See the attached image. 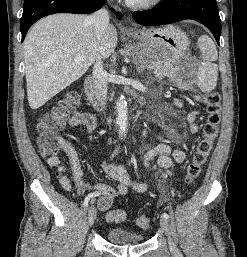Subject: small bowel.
<instances>
[{
  "instance_id": "c3829d8e",
  "label": "small bowel",
  "mask_w": 247,
  "mask_h": 257,
  "mask_svg": "<svg viewBox=\"0 0 247 257\" xmlns=\"http://www.w3.org/2000/svg\"><path fill=\"white\" fill-rule=\"evenodd\" d=\"M176 104L181 105V102L177 100ZM197 115V111H192L188 114V121L192 132L197 131V125L195 124ZM69 125H84L89 132H93L96 129L97 122L96 119L88 113H77L70 118ZM58 141L61 150L68 157L75 184L79 190L89 192V194L93 193L96 195L94 197H98L97 207L99 210L105 211L109 209L113 200L119 196L125 195L129 189H133L139 193L147 190L148 186L146 183L133 180L123 166H118L110 162L104 163V170L110 178L118 182L117 186L111 187L106 184H88L83 179L79 156L74 146L62 137H59ZM184 158L185 155L183 151L172 150L167 144L160 143L145 154L144 162L146 166H151V163L155 161L153 167L163 168L166 170L167 175H170L174 164L182 162ZM47 164L57 170L56 174L61 186L66 191H70L72 188L71 180L67 175V169L62 164L61 159L56 155L48 157Z\"/></svg>"
}]
</instances>
